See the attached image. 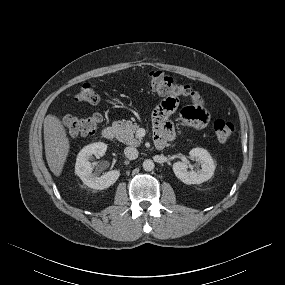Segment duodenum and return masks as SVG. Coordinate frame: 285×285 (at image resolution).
I'll return each mask as SVG.
<instances>
[{
	"mask_svg": "<svg viewBox=\"0 0 285 285\" xmlns=\"http://www.w3.org/2000/svg\"><path fill=\"white\" fill-rule=\"evenodd\" d=\"M116 128L114 126H106L102 130V136L106 140H113L116 136ZM167 139L165 137H156L155 146L157 149H163L166 146Z\"/></svg>",
	"mask_w": 285,
	"mask_h": 285,
	"instance_id": "1",
	"label": "duodenum"
}]
</instances>
